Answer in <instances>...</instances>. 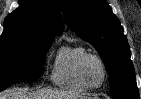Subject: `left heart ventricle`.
Instances as JSON below:
<instances>
[{
    "instance_id": "1",
    "label": "left heart ventricle",
    "mask_w": 141,
    "mask_h": 99,
    "mask_svg": "<svg viewBox=\"0 0 141 99\" xmlns=\"http://www.w3.org/2000/svg\"><path fill=\"white\" fill-rule=\"evenodd\" d=\"M85 73L88 81L92 85H98L103 79V71L96 60H89L85 67Z\"/></svg>"
}]
</instances>
